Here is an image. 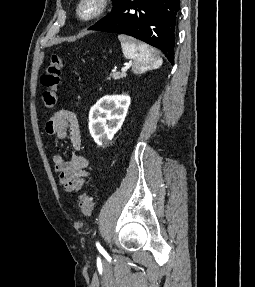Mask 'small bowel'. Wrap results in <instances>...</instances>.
<instances>
[{"mask_svg":"<svg viewBox=\"0 0 255 287\" xmlns=\"http://www.w3.org/2000/svg\"><path fill=\"white\" fill-rule=\"evenodd\" d=\"M46 132L59 140L69 139L74 152L68 160L62 154H55L54 170L58 173L59 185L66 192H78L88 176L89 162L77 153L82 140L76 115L65 109L55 112L46 123Z\"/></svg>","mask_w":255,"mask_h":287,"instance_id":"obj_1","label":"small bowel"}]
</instances>
